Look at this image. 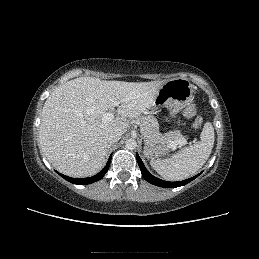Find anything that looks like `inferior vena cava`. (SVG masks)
<instances>
[{
	"label": "inferior vena cava",
	"mask_w": 259,
	"mask_h": 259,
	"mask_svg": "<svg viewBox=\"0 0 259 259\" xmlns=\"http://www.w3.org/2000/svg\"><path fill=\"white\" fill-rule=\"evenodd\" d=\"M121 136H122V132L115 130V131H111V132L107 133L105 138H106V141L109 144H111V143H115V142L119 141Z\"/></svg>",
	"instance_id": "1"
}]
</instances>
